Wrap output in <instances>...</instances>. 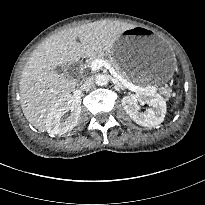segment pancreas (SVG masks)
Returning <instances> with one entry per match:
<instances>
[{
  "label": "pancreas",
  "instance_id": "1",
  "mask_svg": "<svg viewBox=\"0 0 205 205\" xmlns=\"http://www.w3.org/2000/svg\"><path fill=\"white\" fill-rule=\"evenodd\" d=\"M95 59H103L106 60L109 64H111V66L113 67V69L115 70V72L120 75L122 78L124 79H128L125 74L120 70L117 62L115 61V59L108 55V54H104V53H99L96 55L91 56L89 59H87L86 61V66L89 67L91 65V63L95 60Z\"/></svg>",
  "mask_w": 205,
  "mask_h": 205
}]
</instances>
